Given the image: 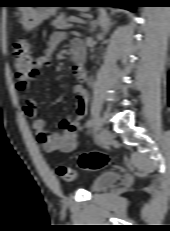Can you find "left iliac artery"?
<instances>
[{
  "mask_svg": "<svg viewBox=\"0 0 170 231\" xmlns=\"http://www.w3.org/2000/svg\"><path fill=\"white\" fill-rule=\"evenodd\" d=\"M94 124H95L94 122L90 121V122L87 124V126H92V125H94Z\"/></svg>",
  "mask_w": 170,
  "mask_h": 231,
  "instance_id": "left-iliac-artery-1",
  "label": "left iliac artery"
}]
</instances>
